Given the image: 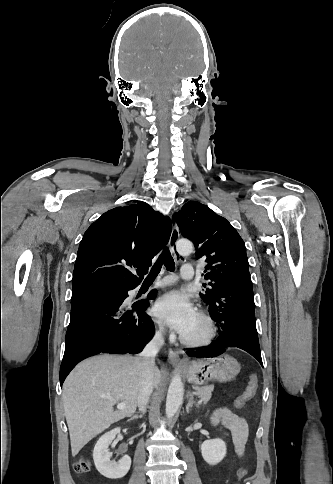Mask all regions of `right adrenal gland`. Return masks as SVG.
Here are the masks:
<instances>
[{
	"label": "right adrenal gland",
	"instance_id": "right-adrenal-gland-1",
	"mask_svg": "<svg viewBox=\"0 0 333 484\" xmlns=\"http://www.w3.org/2000/svg\"><path fill=\"white\" fill-rule=\"evenodd\" d=\"M143 415H144V413H143V414H141V415H134L133 417H131V420H132V419H138V418H142V417H143Z\"/></svg>",
	"mask_w": 333,
	"mask_h": 484
}]
</instances>
